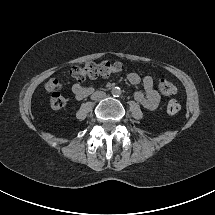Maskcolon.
Returning <instances> with one entry per match:
<instances>
[{"mask_svg":"<svg viewBox=\"0 0 215 215\" xmlns=\"http://www.w3.org/2000/svg\"><path fill=\"white\" fill-rule=\"evenodd\" d=\"M122 66L118 62L88 63L84 66H77L71 70V76L81 82L86 78L109 77L118 74ZM46 90L50 93L49 103L54 109H61L65 106L66 100L59 91V82L56 79H50L45 84ZM159 91L164 95L172 94L175 86L167 79H161L158 84ZM181 106L176 99H170L166 109L170 114L179 112Z\"/></svg>","mask_w":215,"mask_h":215,"instance_id":"5ec220e1","label":"colon"}]
</instances>
